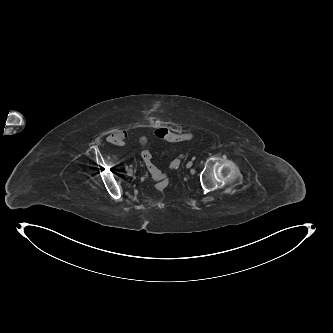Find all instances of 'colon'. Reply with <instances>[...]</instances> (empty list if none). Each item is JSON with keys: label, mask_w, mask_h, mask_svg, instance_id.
<instances>
[{"label": "colon", "mask_w": 333, "mask_h": 333, "mask_svg": "<svg viewBox=\"0 0 333 333\" xmlns=\"http://www.w3.org/2000/svg\"><path fill=\"white\" fill-rule=\"evenodd\" d=\"M156 136L160 140L167 142H179L188 141L193 139V135L190 133H178L172 132L167 129H158L155 132ZM142 160L147 168L149 175L156 181L155 188L159 192H165L170 185L168 176L162 173L152 162V154L145 150L141 153Z\"/></svg>", "instance_id": "colon-1"}]
</instances>
